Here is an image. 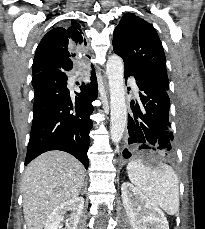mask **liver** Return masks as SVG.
<instances>
[{"mask_svg": "<svg viewBox=\"0 0 205 229\" xmlns=\"http://www.w3.org/2000/svg\"><path fill=\"white\" fill-rule=\"evenodd\" d=\"M85 182L83 165L62 151L41 154L27 166L23 180V213L28 229H43L51 211L76 198Z\"/></svg>", "mask_w": 205, "mask_h": 229, "instance_id": "1", "label": "liver"}]
</instances>
